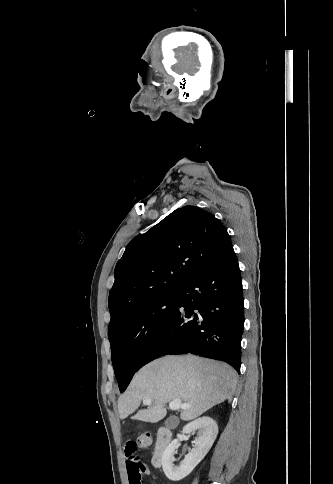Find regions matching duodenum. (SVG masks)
Returning a JSON list of instances; mask_svg holds the SVG:
<instances>
[{
  "mask_svg": "<svg viewBox=\"0 0 333 484\" xmlns=\"http://www.w3.org/2000/svg\"><path fill=\"white\" fill-rule=\"evenodd\" d=\"M172 440V433L168 428H160L157 435V442L155 445L153 463L155 466H160L165 450Z\"/></svg>",
  "mask_w": 333,
  "mask_h": 484,
  "instance_id": "1",
  "label": "duodenum"
}]
</instances>
